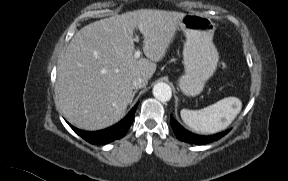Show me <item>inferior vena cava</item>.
Segmentation results:
<instances>
[{
  "label": "inferior vena cava",
  "mask_w": 288,
  "mask_h": 181,
  "mask_svg": "<svg viewBox=\"0 0 288 181\" xmlns=\"http://www.w3.org/2000/svg\"><path fill=\"white\" fill-rule=\"evenodd\" d=\"M147 85V80L142 77H137L132 82V88L133 89H140Z\"/></svg>",
  "instance_id": "inferior-vena-cava-1"
}]
</instances>
